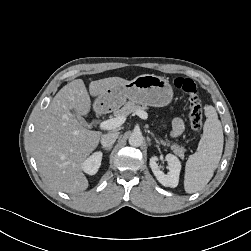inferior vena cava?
<instances>
[{"label": "inferior vena cava", "instance_id": "1", "mask_svg": "<svg viewBox=\"0 0 251 251\" xmlns=\"http://www.w3.org/2000/svg\"><path fill=\"white\" fill-rule=\"evenodd\" d=\"M118 136H119V132H110V133L104 134L101 137V144L103 145V147H112V145L115 143Z\"/></svg>", "mask_w": 251, "mask_h": 251}]
</instances>
